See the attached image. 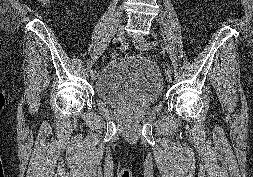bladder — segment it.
I'll return each mask as SVG.
<instances>
[{"mask_svg":"<svg viewBox=\"0 0 253 177\" xmlns=\"http://www.w3.org/2000/svg\"><path fill=\"white\" fill-rule=\"evenodd\" d=\"M164 82L157 64L138 56L121 55L107 63L94 83L95 95L107 103L134 100L149 107L157 103Z\"/></svg>","mask_w":253,"mask_h":177,"instance_id":"obj_1","label":"bladder"}]
</instances>
